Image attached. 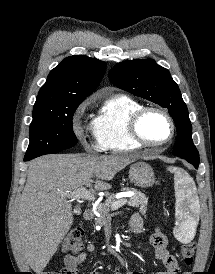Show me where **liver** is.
<instances>
[{
  "instance_id": "1",
  "label": "liver",
  "mask_w": 215,
  "mask_h": 274,
  "mask_svg": "<svg viewBox=\"0 0 215 274\" xmlns=\"http://www.w3.org/2000/svg\"><path fill=\"white\" fill-rule=\"evenodd\" d=\"M133 161L121 155H48L29 163L27 181L13 216L14 244L31 269L41 274L73 223L67 193L80 187L111 188L106 181Z\"/></svg>"
}]
</instances>
